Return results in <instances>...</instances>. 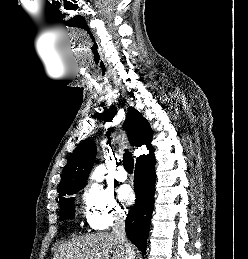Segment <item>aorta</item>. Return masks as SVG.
I'll use <instances>...</instances> for the list:
<instances>
[{
    "label": "aorta",
    "instance_id": "aorta-1",
    "mask_svg": "<svg viewBox=\"0 0 248 259\" xmlns=\"http://www.w3.org/2000/svg\"><path fill=\"white\" fill-rule=\"evenodd\" d=\"M106 169L104 165H99L95 168L92 178L95 179L97 182H101L104 179Z\"/></svg>",
    "mask_w": 248,
    "mask_h": 259
}]
</instances>
